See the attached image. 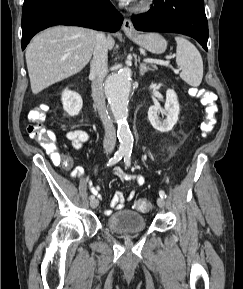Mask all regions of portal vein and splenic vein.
Returning a JSON list of instances; mask_svg holds the SVG:
<instances>
[{
    "label": "portal vein and splenic vein",
    "mask_w": 243,
    "mask_h": 289,
    "mask_svg": "<svg viewBox=\"0 0 243 289\" xmlns=\"http://www.w3.org/2000/svg\"><path fill=\"white\" fill-rule=\"evenodd\" d=\"M145 62L148 63H154V64H158V65H163V66H168L169 65V61H164V60H158V59H145Z\"/></svg>",
    "instance_id": "1"
}]
</instances>
